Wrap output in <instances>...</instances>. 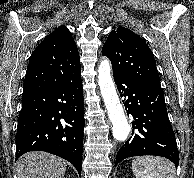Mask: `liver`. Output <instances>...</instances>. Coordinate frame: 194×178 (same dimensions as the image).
Listing matches in <instances>:
<instances>
[{
	"instance_id": "obj_1",
	"label": "liver",
	"mask_w": 194,
	"mask_h": 178,
	"mask_svg": "<svg viewBox=\"0 0 194 178\" xmlns=\"http://www.w3.org/2000/svg\"><path fill=\"white\" fill-rule=\"evenodd\" d=\"M15 171L17 178H63L66 162L49 153L34 151L18 159Z\"/></svg>"
}]
</instances>
